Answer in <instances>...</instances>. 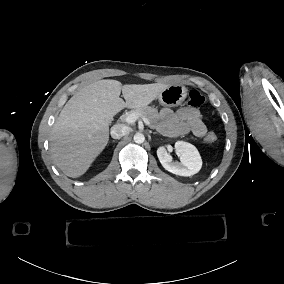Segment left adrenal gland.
Wrapping results in <instances>:
<instances>
[{"label":"left adrenal gland","instance_id":"left-adrenal-gland-1","mask_svg":"<svg viewBox=\"0 0 284 284\" xmlns=\"http://www.w3.org/2000/svg\"><path fill=\"white\" fill-rule=\"evenodd\" d=\"M155 135H161L160 133H157V132H153V136Z\"/></svg>","mask_w":284,"mask_h":284}]
</instances>
